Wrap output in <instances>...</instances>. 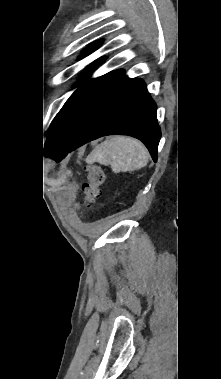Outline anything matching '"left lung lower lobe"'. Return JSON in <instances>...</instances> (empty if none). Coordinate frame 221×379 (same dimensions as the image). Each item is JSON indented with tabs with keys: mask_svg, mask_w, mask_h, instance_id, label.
I'll return each instance as SVG.
<instances>
[{
	"mask_svg": "<svg viewBox=\"0 0 221 379\" xmlns=\"http://www.w3.org/2000/svg\"><path fill=\"white\" fill-rule=\"evenodd\" d=\"M156 103L140 79L122 73L78 122L70 136L51 156L60 161L67 153L105 135H130L141 140L157 161L161 137Z\"/></svg>",
	"mask_w": 221,
	"mask_h": 379,
	"instance_id": "1",
	"label": "left lung lower lobe"
}]
</instances>
